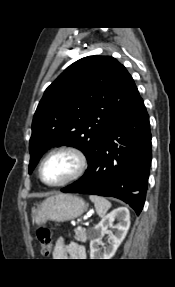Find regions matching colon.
Wrapping results in <instances>:
<instances>
[{
    "mask_svg": "<svg viewBox=\"0 0 175 287\" xmlns=\"http://www.w3.org/2000/svg\"><path fill=\"white\" fill-rule=\"evenodd\" d=\"M37 238L44 256H50L53 251L51 232L46 227H40L37 230Z\"/></svg>",
    "mask_w": 175,
    "mask_h": 287,
    "instance_id": "5ec220e1",
    "label": "colon"
}]
</instances>
